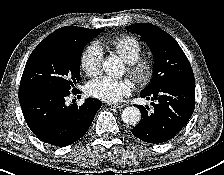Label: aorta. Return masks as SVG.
<instances>
[{"instance_id":"aorta-1","label":"aorta","mask_w":224,"mask_h":175,"mask_svg":"<svg viewBox=\"0 0 224 175\" xmlns=\"http://www.w3.org/2000/svg\"><path fill=\"white\" fill-rule=\"evenodd\" d=\"M102 68L109 76L121 77L124 74L122 60L115 55L107 57L102 62ZM121 117L125 124L136 125L141 119V113L137 107L129 106L122 111Z\"/></svg>"}]
</instances>
